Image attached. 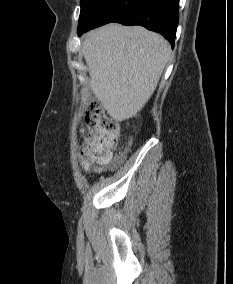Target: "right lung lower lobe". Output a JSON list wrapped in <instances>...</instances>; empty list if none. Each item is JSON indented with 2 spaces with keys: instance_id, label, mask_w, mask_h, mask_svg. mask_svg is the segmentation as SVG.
I'll use <instances>...</instances> for the list:
<instances>
[{
  "instance_id": "98d812e1",
  "label": "right lung lower lobe",
  "mask_w": 233,
  "mask_h": 284,
  "mask_svg": "<svg viewBox=\"0 0 233 284\" xmlns=\"http://www.w3.org/2000/svg\"><path fill=\"white\" fill-rule=\"evenodd\" d=\"M178 10L179 0H110L78 34L110 22L141 25L162 34L174 47Z\"/></svg>"
}]
</instances>
